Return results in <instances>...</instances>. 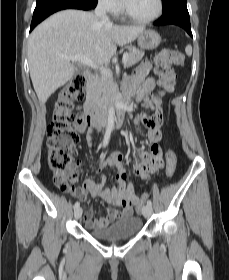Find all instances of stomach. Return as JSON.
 <instances>
[{
    "label": "stomach",
    "instance_id": "1",
    "mask_svg": "<svg viewBox=\"0 0 229 280\" xmlns=\"http://www.w3.org/2000/svg\"><path fill=\"white\" fill-rule=\"evenodd\" d=\"M138 45L142 49H155L159 46L161 42L160 35L154 30H144L138 37H137Z\"/></svg>",
    "mask_w": 229,
    "mask_h": 280
}]
</instances>
